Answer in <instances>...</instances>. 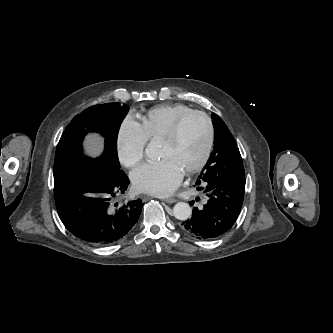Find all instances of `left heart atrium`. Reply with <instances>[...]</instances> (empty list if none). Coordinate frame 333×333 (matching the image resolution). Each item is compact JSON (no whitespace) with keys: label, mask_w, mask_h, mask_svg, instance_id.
I'll return each instance as SVG.
<instances>
[{"label":"left heart atrium","mask_w":333,"mask_h":333,"mask_svg":"<svg viewBox=\"0 0 333 333\" xmlns=\"http://www.w3.org/2000/svg\"><path fill=\"white\" fill-rule=\"evenodd\" d=\"M183 169L171 158L146 162L134 169L131 180L140 192L157 196L171 194L181 183Z\"/></svg>","instance_id":"1"}]
</instances>
